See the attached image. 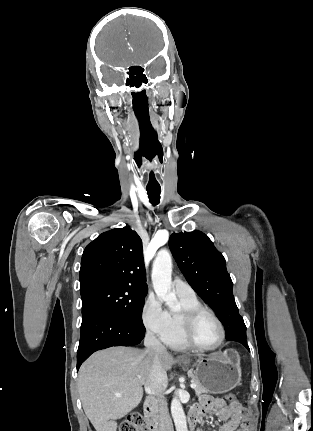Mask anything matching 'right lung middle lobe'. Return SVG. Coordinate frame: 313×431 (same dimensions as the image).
<instances>
[{
	"label": "right lung middle lobe",
	"mask_w": 313,
	"mask_h": 431,
	"mask_svg": "<svg viewBox=\"0 0 313 431\" xmlns=\"http://www.w3.org/2000/svg\"><path fill=\"white\" fill-rule=\"evenodd\" d=\"M146 294V291L130 286L110 287L96 291L82 297V316L94 310H108L143 327L142 310Z\"/></svg>",
	"instance_id": "obj_1"
}]
</instances>
